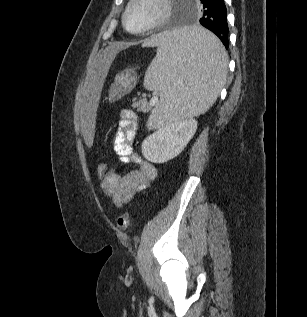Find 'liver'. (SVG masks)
Listing matches in <instances>:
<instances>
[{
  "label": "liver",
  "mask_w": 307,
  "mask_h": 317,
  "mask_svg": "<svg viewBox=\"0 0 307 317\" xmlns=\"http://www.w3.org/2000/svg\"><path fill=\"white\" fill-rule=\"evenodd\" d=\"M127 47L124 43L111 44L106 51H102L101 55H97L92 64L93 71L87 75L86 84L83 87L84 93H81V100L78 101L77 107L81 112H78L77 117L81 119L80 135L81 142H98V135H94L95 125L93 116L98 111V104L102 100L104 91V81L110 73V68L118 58V51H123ZM161 99V98H160ZM87 153L91 152L90 148L86 149Z\"/></svg>",
  "instance_id": "obj_1"
}]
</instances>
